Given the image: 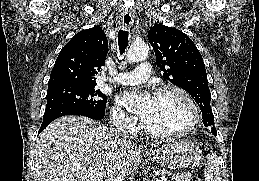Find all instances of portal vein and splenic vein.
<instances>
[{"label": "portal vein and splenic vein", "instance_id": "portal-vein-and-splenic-vein-1", "mask_svg": "<svg viewBox=\"0 0 259 181\" xmlns=\"http://www.w3.org/2000/svg\"><path fill=\"white\" fill-rule=\"evenodd\" d=\"M157 181H167V177L163 176V177H161V179H157Z\"/></svg>", "mask_w": 259, "mask_h": 181}]
</instances>
